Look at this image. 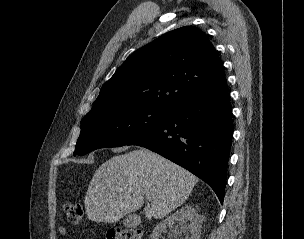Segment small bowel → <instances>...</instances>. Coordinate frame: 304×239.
Here are the masks:
<instances>
[{
  "instance_id": "c3829d8e",
  "label": "small bowel",
  "mask_w": 304,
  "mask_h": 239,
  "mask_svg": "<svg viewBox=\"0 0 304 239\" xmlns=\"http://www.w3.org/2000/svg\"><path fill=\"white\" fill-rule=\"evenodd\" d=\"M58 231H59V234L63 237L67 236V234H68V230L65 226H60Z\"/></svg>"
}]
</instances>
